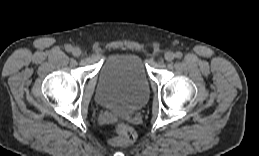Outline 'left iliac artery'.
I'll return each mask as SVG.
<instances>
[{
    "label": "left iliac artery",
    "mask_w": 259,
    "mask_h": 156,
    "mask_svg": "<svg viewBox=\"0 0 259 156\" xmlns=\"http://www.w3.org/2000/svg\"><path fill=\"white\" fill-rule=\"evenodd\" d=\"M175 57L178 58V59H180V58L182 57V53L179 52V51L176 52V53H175Z\"/></svg>",
    "instance_id": "1"
}]
</instances>
